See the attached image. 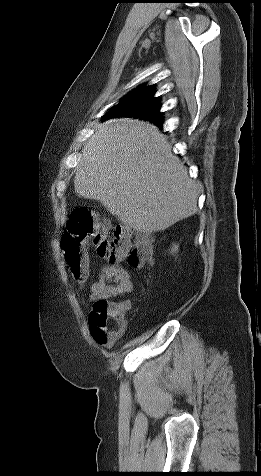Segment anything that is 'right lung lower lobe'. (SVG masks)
Segmentation results:
<instances>
[{"label": "right lung lower lobe", "instance_id": "1", "mask_svg": "<svg viewBox=\"0 0 261 476\" xmlns=\"http://www.w3.org/2000/svg\"><path fill=\"white\" fill-rule=\"evenodd\" d=\"M111 117H114V116H111ZM108 118H110V117H108ZM156 125H159L160 127L162 126L161 124H156Z\"/></svg>", "mask_w": 261, "mask_h": 476}]
</instances>
